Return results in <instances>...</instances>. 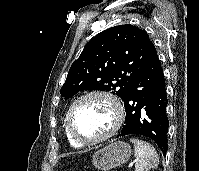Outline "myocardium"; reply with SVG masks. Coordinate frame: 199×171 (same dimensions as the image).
I'll use <instances>...</instances> for the list:
<instances>
[{
	"mask_svg": "<svg viewBox=\"0 0 199 171\" xmlns=\"http://www.w3.org/2000/svg\"><path fill=\"white\" fill-rule=\"evenodd\" d=\"M91 97H100V98L107 100L113 107L115 119H114L113 126L110 128V130L107 133H105L102 136L96 137V138L85 139L76 133V131L73 127V123H72V115H73L74 109L81 101L91 98ZM124 119H125V109H124L123 103L120 100V98L112 92L105 91V90H99V89L90 90V91H87V92L81 94L80 96H78L71 103V105L67 111L66 117H65L67 130H68L70 136L75 141H77L78 143H80L82 145H94V144L103 142V141L111 138L120 129V127L122 126V124L124 122Z\"/></svg>",
	"mask_w": 199,
	"mask_h": 171,
	"instance_id": "1",
	"label": "myocardium"
}]
</instances>
